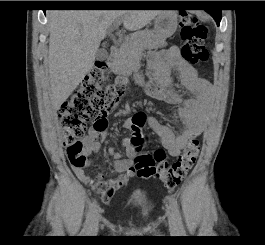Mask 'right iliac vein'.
<instances>
[{
  "mask_svg": "<svg viewBox=\"0 0 265 245\" xmlns=\"http://www.w3.org/2000/svg\"><path fill=\"white\" fill-rule=\"evenodd\" d=\"M98 225H99V217L98 215H95L91 226H90V230H89V235L94 236L96 235L97 231H98Z\"/></svg>",
  "mask_w": 265,
  "mask_h": 245,
  "instance_id": "right-iliac-vein-1",
  "label": "right iliac vein"
}]
</instances>
